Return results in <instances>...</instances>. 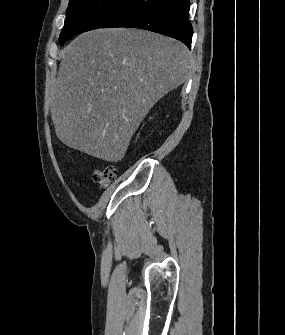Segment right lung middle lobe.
I'll use <instances>...</instances> for the list:
<instances>
[{"label": "right lung middle lobe", "mask_w": 285, "mask_h": 335, "mask_svg": "<svg viewBox=\"0 0 285 335\" xmlns=\"http://www.w3.org/2000/svg\"><path fill=\"white\" fill-rule=\"evenodd\" d=\"M116 0H70L65 25L61 31L59 42L61 45L71 39L104 12Z\"/></svg>", "instance_id": "1"}]
</instances>
